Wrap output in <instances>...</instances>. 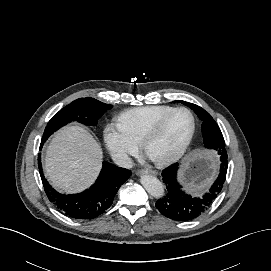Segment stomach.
Returning a JSON list of instances; mask_svg holds the SVG:
<instances>
[{"mask_svg": "<svg viewBox=\"0 0 271 271\" xmlns=\"http://www.w3.org/2000/svg\"><path fill=\"white\" fill-rule=\"evenodd\" d=\"M216 162L210 154L196 155L185 163L180 176L190 193L203 190L215 175Z\"/></svg>", "mask_w": 271, "mask_h": 271, "instance_id": "obj_1", "label": "stomach"}]
</instances>
